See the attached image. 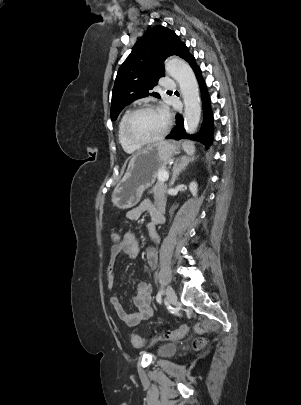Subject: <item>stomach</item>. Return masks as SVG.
Returning <instances> with one entry per match:
<instances>
[{"instance_id": "0dacf381", "label": "stomach", "mask_w": 301, "mask_h": 405, "mask_svg": "<svg viewBox=\"0 0 301 405\" xmlns=\"http://www.w3.org/2000/svg\"><path fill=\"white\" fill-rule=\"evenodd\" d=\"M178 147L171 141H160L134 155L127 170L114 188L112 203L119 209L135 206L143 192L151 187L160 169L177 154Z\"/></svg>"}]
</instances>
